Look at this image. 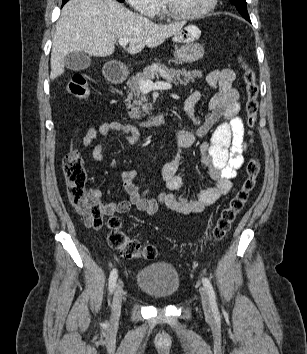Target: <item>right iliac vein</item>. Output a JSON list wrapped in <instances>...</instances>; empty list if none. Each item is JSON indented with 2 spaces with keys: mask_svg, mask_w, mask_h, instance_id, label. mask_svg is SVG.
Masks as SVG:
<instances>
[{
  "mask_svg": "<svg viewBox=\"0 0 307 354\" xmlns=\"http://www.w3.org/2000/svg\"><path fill=\"white\" fill-rule=\"evenodd\" d=\"M122 296H123V288L122 284L118 283L115 291L112 302V319L113 321L118 320L121 312V304H122Z\"/></svg>",
  "mask_w": 307,
  "mask_h": 354,
  "instance_id": "63e3f726",
  "label": "right iliac vein"
}]
</instances>
